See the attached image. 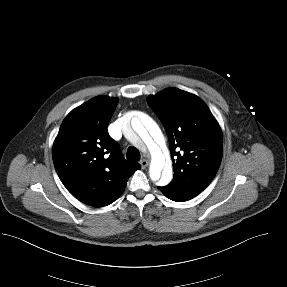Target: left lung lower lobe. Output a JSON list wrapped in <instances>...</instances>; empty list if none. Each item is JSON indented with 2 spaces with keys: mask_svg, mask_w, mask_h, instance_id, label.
I'll list each match as a JSON object with an SVG mask.
<instances>
[{
  "mask_svg": "<svg viewBox=\"0 0 287 287\" xmlns=\"http://www.w3.org/2000/svg\"><path fill=\"white\" fill-rule=\"evenodd\" d=\"M161 192L168 197L169 199L176 201V202H184L192 199L193 197H190L186 195L185 193L179 191L178 189L171 187L169 185L158 187Z\"/></svg>",
  "mask_w": 287,
  "mask_h": 287,
  "instance_id": "0a47b994",
  "label": "left lung lower lobe"
}]
</instances>
